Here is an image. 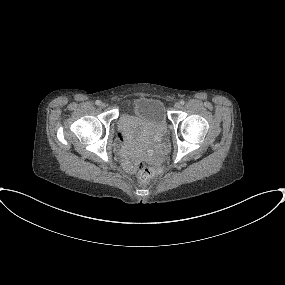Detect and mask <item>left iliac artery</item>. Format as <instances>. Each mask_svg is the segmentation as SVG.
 Here are the masks:
<instances>
[{
  "instance_id": "44dca946",
  "label": "left iliac artery",
  "mask_w": 285,
  "mask_h": 285,
  "mask_svg": "<svg viewBox=\"0 0 285 285\" xmlns=\"http://www.w3.org/2000/svg\"><path fill=\"white\" fill-rule=\"evenodd\" d=\"M180 103H181V105H184V104H185V102H184L183 100H181Z\"/></svg>"
}]
</instances>
